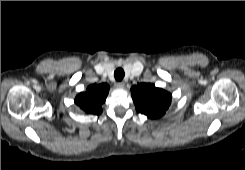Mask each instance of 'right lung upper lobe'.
Segmentation results:
<instances>
[{"label":"right lung upper lobe","mask_w":245,"mask_h":170,"mask_svg":"<svg viewBox=\"0 0 245 170\" xmlns=\"http://www.w3.org/2000/svg\"><path fill=\"white\" fill-rule=\"evenodd\" d=\"M109 92L107 83L90 85L86 92L78 94L75 104L88 114L99 115L102 113V104L105 102Z\"/></svg>","instance_id":"right-lung-upper-lobe-1"}]
</instances>
